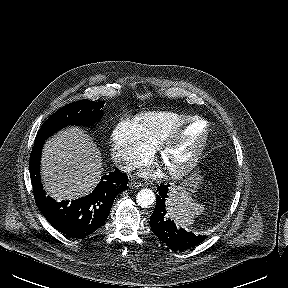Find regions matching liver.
<instances>
[{
    "instance_id": "6515ba94",
    "label": "liver",
    "mask_w": 288,
    "mask_h": 288,
    "mask_svg": "<svg viewBox=\"0 0 288 288\" xmlns=\"http://www.w3.org/2000/svg\"><path fill=\"white\" fill-rule=\"evenodd\" d=\"M102 170L97 145L77 127L61 130L44 145L42 182L47 193L58 201L91 192L99 183Z\"/></svg>"
}]
</instances>
